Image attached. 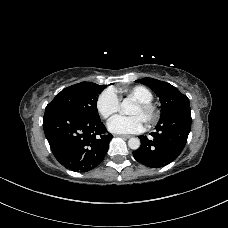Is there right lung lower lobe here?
Listing matches in <instances>:
<instances>
[{
	"mask_svg": "<svg viewBox=\"0 0 228 228\" xmlns=\"http://www.w3.org/2000/svg\"><path fill=\"white\" fill-rule=\"evenodd\" d=\"M43 128L55 158L77 172L98 166L113 137L106 134L99 117H86L61 106L46 107Z\"/></svg>",
	"mask_w": 228,
	"mask_h": 228,
	"instance_id": "1",
	"label": "right lung lower lobe"
}]
</instances>
